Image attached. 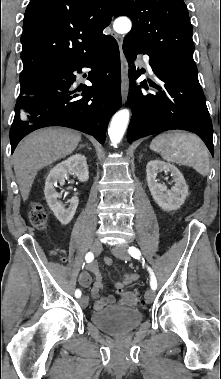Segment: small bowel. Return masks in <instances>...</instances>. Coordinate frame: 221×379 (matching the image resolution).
Instances as JSON below:
<instances>
[{
	"instance_id": "c3829d8e",
	"label": "small bowel",
	"mask_w": 221,
	"mask_h": 379,
	"mask_svg": "<svg viewBox=\"0 0 221 379\" xmlns=\"http://www.w3.org/2000/svg\"><path fill=\"white\" fill-rule=\"evenodd\" d=\"M105 263L106 265L110 266L112 264V261L107 258L105 259ZM86 269H87V272H83L79 276V283L83 287H89L92 283V277L90 273L94 275L95 282L91 289V296L95 300L93 304V308L95 310H101L106 305L114 302V296L113 295L103 296L101 294V290L103 288L104 275L99 270L98 265L96 263H90L86 265ZM137 278H138V275L134 273L123 274L122 278L115 283L114 285L115 290L121 294L124 288L127 285L133 283L135 280H137Z\"/></svg>"
}]
</instances>
